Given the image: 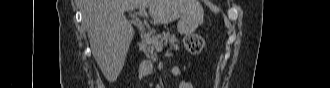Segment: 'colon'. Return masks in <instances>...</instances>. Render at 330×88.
<instances>
[{"instance_id": "5ec220e1", "label": "colon", "mask_w": 330, "mask_h": 88, "mask_svg": "<svg viewBox=\"0 0 330 88\" xmlns=\"http://www.w3.org/2000/svg\"><path fill=\"white\" fill-rule=\"evenodd\" d=\"M185 49L191 54L201 53L207 46L203 36L198 34H189L184 39Z\"/></svg>"}]
</instances>
